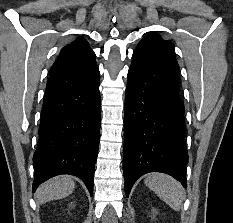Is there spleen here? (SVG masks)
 <instances>
[{"label": "spleen", "mask_w": 233, "mask_h": 223, "mask_svg": "<svg viewBox=\"0 0 233 223\" xmlns=\"http://www.w3.org/2000/svg\"><path fill=\"white\" fill-rule=\"evenodd\" d=\"M144 183L165 203H168L169 207H173L176 211L180 209L182 201L185 199V191L181 183L174 177L165 175V173H150V175H146Z\"/></svg>", "instance_id": "obj_1"}]
</instances>
